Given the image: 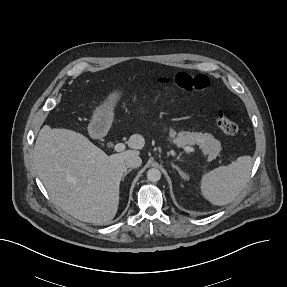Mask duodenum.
Returning a JSON list of instances; mask_svg holds the SVG:
<instances>
[{"label":"duodenum","mask_w":287,"mask_h":287,"mask_svg":"<svg viewBox=\"0 0 287 287\" xmlns=\"http://www.w3.org/2000/svg\"><path fill=\"white\" fill-rule=\"evenodd\" d=\"M107 131H108V128H107L106 124H104V123H95L92 126V132L94 134L99 135V136H105Z\"/></svg>","instance_id":"1"}]
</instances>
